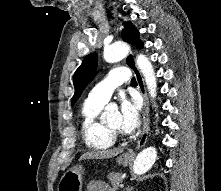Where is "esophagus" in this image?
<instances>
[{
  "mask_svg": "<svg viewBox=\"0 0 221 191\" xmlns=\"http://www.w3.org/2000/svg\"><path fill=\"white\" fill-rule=\"evenodd\" d=\"M128 65H131V68L135 74L136 81L138 84V89L143 97V129H142V134L140 139L137 142L136 149L142 148L148 139V132H149V124H150V119H149V101L146 93V88L144 84V80L142 77V74L139 70V68L136 65V61L134 58V54L130 53V55L126 59ZM130 154H133L132 152Z\"/></svg>",
  "mask_w": 221,
  "mask_h": 191,
  "instance_id": "1",
  "label": "esophagus"
}]
</instances>
